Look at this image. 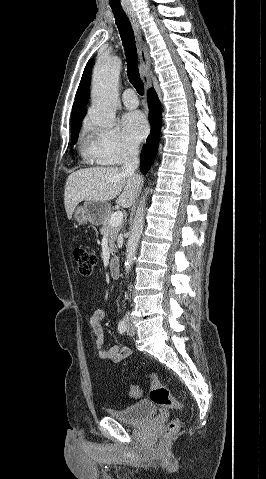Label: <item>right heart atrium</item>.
I'll return each mask as SVG.
<instances>
[{"label": "right heart atrium", "instance_id": "1", "mask_svg": "<svg viewBox=\"0 0 266 479\" xmlns=\"http://www.w3.org/2000/svg\"><path fill=\"white\" fill-rule=\"evenodd\" d=\"M93 160L102 164L120 165L136 154V147L116 127L86 125Z\"/></svg>", "mask_w": 266, "mask_h": 479}]
</instances>
